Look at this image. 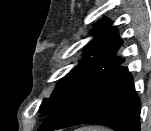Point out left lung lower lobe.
Instances as JSON below:
<instances>
[{"label": "left lung lower lobe", "mask_w": 151, "mask_h": 131, "mask_svg": "<svg viewBox=\"0 0 151 131\" xmlns=\"http://www.w3.org/2000/svg\"><path fill=\"white\" fill-rule=\"evenodd\" d=\"M140 99L124 67H93L68 90L38 131L98 124L114 131H140Z\"/></svg>", "instance_id": "obj_1"}]
</instances>
